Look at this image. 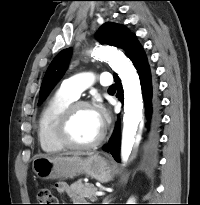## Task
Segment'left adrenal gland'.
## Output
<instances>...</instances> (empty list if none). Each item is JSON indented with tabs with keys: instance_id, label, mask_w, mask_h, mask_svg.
Here are the masks:
<instances>
[{
	"instance_id": "1",
	"label": "left adrenal gland",
	"mask_w": 200,
	"mask_h": 205,
	"mask_svg": "<svg viewBox=\"0 0 200 205\" xmlns=\"http://www.w3.org/2000/svg\"><path fill=\"white\" fill-rule=\"evenodd\" d=\"M110 197H111V195L104 198L103 199V204H109V202L112 200Z\"/></svg>"
}]
</instances>
